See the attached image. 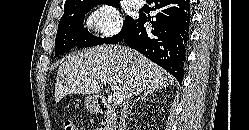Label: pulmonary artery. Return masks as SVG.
Returning <instances> with one entry per match:
<instances>
[{"label": "pulmonary artery", "instance_id": "obj_1", "mask_svg": "<svg viewBox=\"0 0 249 130\" xmlns=\"http://www.w3.org/2000/svg\"><path fill=\"white\" fill-rule=\"evenodd\" d=\"M135 8H141L144 4V0H132Z\"/></svg>", "mask_w": 249, "mask_h": 130}]
</instances>
